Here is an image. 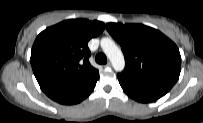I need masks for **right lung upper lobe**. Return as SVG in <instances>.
Returning a JSON list of instances; mask_svg holds the SVG:
<instances>
[{
	"mask_svg": "<svg viewBox=\"0 0 203 123\" xmlns=\"http://www.w3.org/2000/svg\"><path fill=\"white\" fill-rule=\"evenodd\" d=\"M105 28L100 21L70 19L42 31L31 50V66L43 91L87 83L99 76L89 63L88 41Z\"/></svg>",
	"mask_w": 203,
	"mask_h": 123,
	"instance_id": "cb5924a9",
	"label": "right lung upper lobe"
}]
</instances>
